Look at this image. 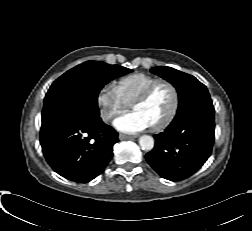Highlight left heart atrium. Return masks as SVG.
Masks as SVG:
<instances>
[{"mask_svg": "<svg viewBox=\"0 0 252 231\" xmlns=\"http://www.w3.org/2000/svg\"><path fill=\"white\" fill-rule=\"evenodd\" d=\"M113 124L117 130L125 133H136L150 127L148 121L136 111L121 115Z\"/></svg>", "mask_w": 252, "mask_h": 231, "instance_id": "left-heart-atrium-1", "label": "left heart atrium"}]
</instances>
